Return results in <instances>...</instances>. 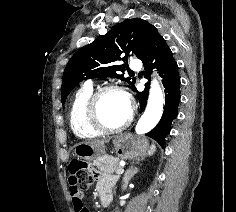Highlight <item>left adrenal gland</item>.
Segmentation results:
<instances>
[{"instance_id":"a2214340","label":"left adrenal gland","mask_w":236,"mask_h":212,"mask_svg":"<svg viewBox=\"0 0 236 212\" xmlns=\"http://www.w3.org/2000/svg\"><path fill=\"white\" fill-rule=\"evenodd\" d=\"M138 172V168H132L124 174L122 189L125 190L131 178Z\"/></svg>"}]
</instances>
